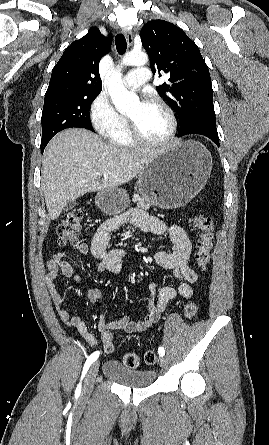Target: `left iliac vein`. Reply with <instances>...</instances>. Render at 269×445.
I'll return each mask as SVG.
<instances>
[{
    "label": "left iliac vein",
    "mask_w": 269,
    "mask_h": 445,
    "mask_svg": "<svg viewBox=\"0 0 269 445\" xmlns=\"http://www.w3.org/2000/svg\"><path fill=\"white\" fill-rule=\"evenodd\" d=\"M159 362H160V366H161L162 368H167V366H168V360H167L166 357L161 356Z\"/></svg>",
    "instance_id": "obj_1"
}]
</instances>
